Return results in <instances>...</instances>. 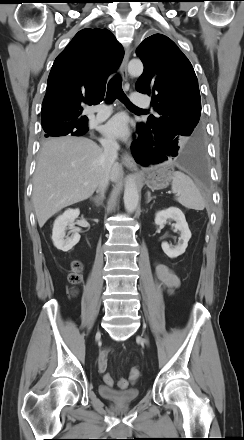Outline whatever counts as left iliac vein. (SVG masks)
I'll return each mask as SVG.
<instances>
[{
	"label": "left iliac vein",
	"mask_w": 244,
	"mask_h": 440,
	"mask_svg": "<svg viewBox=\"0 0 244 440\" xmlns=\"http://www.w3.org/2000/svg\"><path fill=\"white\" fill-rule=\"evenodd\" d=\"M143 341H144V343H145L146 345L149 344V341H148L147 337H144Z\"/></svg>",
	"instance_id": "left-iliac-vein-1"
}]
</instances>
